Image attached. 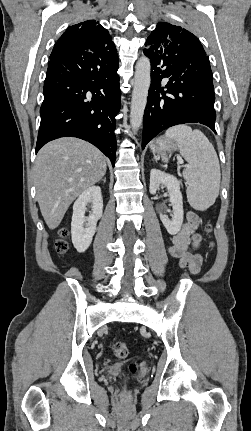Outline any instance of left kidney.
Here are the masks:
<instances>
[{
    "mask_svg": "<svg viewBox=\"0 0 251 431\" xmlns=\"http://www.w3.org/2000/svg\"><path fill=\"white\" fill-rule=\"evenodd\" d=\"M163 185L167 188L170 202L173 207L172 219H168L165 215L160 214V219L170 235L177 234L183 223V197L180 191V182L178 179L168 173L158 169H152L150 172V186L149 191L155 194L159 187Z\"/></svg>",
    "mask_w": 251,
    "mask_h": 431,
    "instance_id": "obj_1",
    "label": "left kidney"
}]
</instances>
